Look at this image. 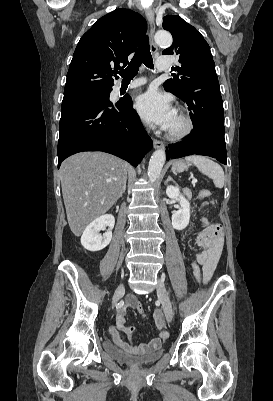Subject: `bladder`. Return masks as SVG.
I'll return each instance as SVG.
<instances>
[{"label": "bladder", "mask_w": 273, "mask_h": 401, "mask_svg": "<svg viewBox=\"0 0 273 401\" xmlns=\"http://www.w3.org/2000/svg\"><path fill=\"white\" fill-rule=\"evenodd\" d=\"M104 351L114 360L132 367H140L151 364L158 360L163 354V348L147 352L142 355H130L117 346L113 339H106L103 343Z\"/></svg>", "instance_id": "1"}]
</instances>
